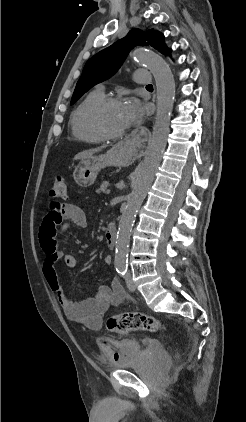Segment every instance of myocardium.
<instances>
[{
	"mask_svg": "<svg viewBox=\"0 0 246 422\" xmlns=\"http://www.w3.org/2000/svg\"><path fill=\"white\" fill-rule=\"evenodd\" d=\"M122 104L118 97L106 96L100 100L91 111V121L97 132L108 140L120 139L126 135L127 130L120 132H113L107 128L104 122V113L106 109L111 105Z\"/></svg>",
	"mask_w": 246,
	"mask_h": 422,
	"instance_id": "f54148a6",
	"label": "myocardium"
}]
</instances>
